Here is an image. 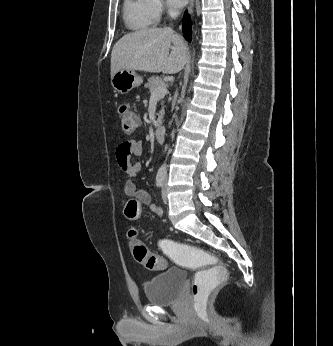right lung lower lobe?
I'll list each match as a JSON object with an SVG mask.
<instances>
[{
	"label": "right lung lower lobe",
	"mask_w": 333,
	"mask_h": 346,
	"mask_svg": "<svg viewBox=\"0 0 333 346\" xmlns=\"http://www.w3.org/2000/svg\"><path fill=\"white\" fill-rule=\"evenodd\" d=\"M182 30H183V36L185 37L187 41L190 42L192 39L191 21L187 13L184 14Z\"/></svg>",
	"instance_id": "1"
}]
</instances>
